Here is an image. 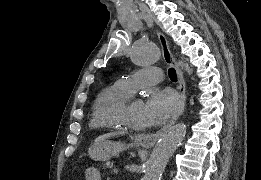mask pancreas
Segmentation results:
<instances>
[{"label":"pancreas","instance_id":"obj_1","mask_svg":"<svg viewBox=\"0 0 261 180\" xmlns=\"http://www.w3.org/2000/svg\"><path fill=\"white\" fill-rule=\"evenodd\" d=\"M110 163H111V160H110V159H105V160H104L103 169H104V170H109V169H110V166H109Z\"/></svg>","mask_w":261,"mask_h":180}]
</instances>
